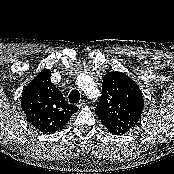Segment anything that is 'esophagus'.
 <instances>
[{
	"label": "esophagus",
	"instance_id": "34e87169",
	"mask_svg": "<svg viewBox=\"0 0 174 174\" xmlns=\"http://www.w3.org/2000/svg\"><path fill=\"white\" fill-rule=\"evenodd\" d=\"M87 104L86 100H82L79 103V107H84Z\"/></svg>",
	"mask_w": 174,
	"mask_h": 174
}]
</instances>
